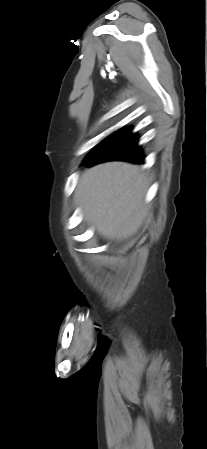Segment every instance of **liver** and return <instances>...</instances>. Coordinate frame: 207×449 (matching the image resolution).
<instances>
[{
  "label": "liver",
  "mask_w": 207,
  "mask_h": 449,
  "mask_svg": "<svg viewBox=\"0 0 207 449\" xmlns=\"http://www.w3.org/2000/svg\"><path fill=\"white\" fill-rule=\"evenodd\" d=\"M147 189V177L137 165L107 162L82 174L75 204L82 207L85 219L100 235L123 241L138 231L147 215Z\"/></svg>",
  "instance_id": "obj_1"
}]
</instances>
